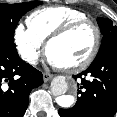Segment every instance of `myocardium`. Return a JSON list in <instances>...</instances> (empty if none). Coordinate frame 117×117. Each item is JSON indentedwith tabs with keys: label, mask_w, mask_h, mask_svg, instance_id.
Segmentation results:
<instances>
[{
	"label": "myocardium",
	"mask_w": 117,
	"mask_h": 117,
	"mask_svg": "<svg viewBox=\"0 0 117 117\" xmlns=\"http://www.w3.org/2000/svg\"><path fill=\"white\" fill-rule=\"evenodd\" d=\"M84 26L92 27L95 32V41H94L93 48L90 51V53L88 54V56L81 62L68 66V67H61V69H63L66 72L82 71V70L86 69L88 66H90L92 64V62L95 60V58L99 52V49H100L101 38H102L101 30H100L99 26L90 19L77 20V21L68 23V24L64 25L63 27H61L59 30L54 32L46 41L45 52H46V56L49 57V49H50V46L54 42L68 36L72 32H74L77 29L82 28Z\"/></svg>",
	"instance_id": "myocardium-1"
}]
</instances>
